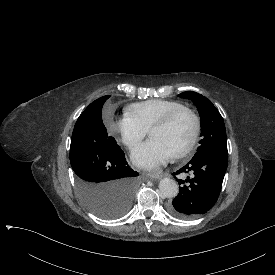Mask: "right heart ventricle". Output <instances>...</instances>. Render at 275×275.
Returning a JSON list of instances; mask_svg holds the SVG:
<instances>
[{
	"label": "right heart ventricle",
	"instance_id": "1",
	"mask_svg": "<svg viewBox=\"0 0 275 275\" xmlns=\"http://www.w3.org/2000/svg\"><path fill=\"white\" fill-rule=\"evenodd\" d=\"M185 107L184 104L166 99H151L134 103L126 108V114L133 117L147 131L173 110Z\"/></svg>",
	"mask_w": 275,
	"mask_h": 275
}]
</instances>
